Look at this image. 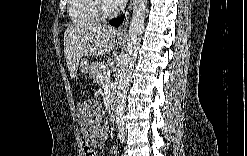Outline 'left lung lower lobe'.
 Wrapping results in <instances>:
<instances>
[{
    "label": "left lung lower lobe",
    "mask_w": 247,
    "mask_h": 156,
    "mask_svg": "<svg viewBox=\"0 0 247 156\" xmlns=\"http://www.w3.org/2000/svg\"><path fill=\"white\" fill-rule=\"evenodd\" d=\"M124 17H125V16H121V17H119V18L113 19V20L109 21V24L118 27V26H120V24L123 22Z\"/></svg>",
    "instance_id": "obj_1"
}]
</instances>
